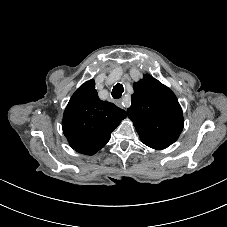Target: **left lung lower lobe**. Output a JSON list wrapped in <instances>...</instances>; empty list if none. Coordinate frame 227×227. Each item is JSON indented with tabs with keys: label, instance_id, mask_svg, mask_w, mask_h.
<instances>
[{
	"label": "left lung lower lobe",
	"instance_id": "obj_1",
	"mask_svg": "<svg viewBox=\"0 0 227 227\" xmlns=\"http://www.w3.org/2000/svg\"><path fill=\"white\" fill-rule=\"evenodd\" d=\"M139 136H140V139L141 141L149 146L150 148H153V149H156V150H161V149H165L167 148L168 146H170L169 143L165 142V141H162L146 132H143V131H137Z\"/></svg>",
	"mask_w": 227,
	"mask_h": 227
}]
</instances>
